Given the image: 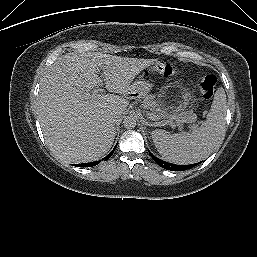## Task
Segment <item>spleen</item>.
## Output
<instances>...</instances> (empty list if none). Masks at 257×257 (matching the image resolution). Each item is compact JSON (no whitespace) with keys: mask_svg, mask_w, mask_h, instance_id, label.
I'll return each mask as SVG.
<instances>
[{"mask_svg":"<svg viewBox=\"0 0 257 257\" xmlns=\"http://www.w3.org/2000/svg\"><path fill=\"white\" fill-rule=\"evenodd\" d=\"M226 95L219 88L214 96L206 121L191 133L170 134L152 131V139L163 160L176 164H192L207 158L223 139L226 124Z\"/></svg>","mask_w":257,"mask_h":257,"instance_id":"3e777b00","label":"spleen"}]
</instances>
